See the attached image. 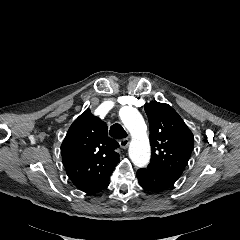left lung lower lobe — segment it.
<instances>
[{
    "mask_svg": "<svg viewBox=\"0 0 240 240\" xmlns=\"http://www.w3.org/2000/svg\"><path fill=\"white\" fill-rule=\"evenodd\" d=\"M137 177L141 187L151 192H162L168 190L176 182L163 172L151 166L139 169L137 171Z\"/></svg>",
    "mask_w": 240,
    "mask_h": 240,
    "instance_id": "obj_1",
    "label": "left lung lower lobe"
}]
</instances>
